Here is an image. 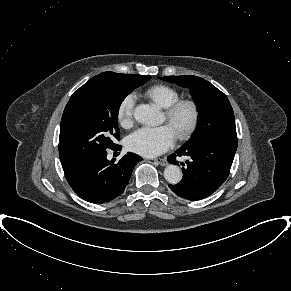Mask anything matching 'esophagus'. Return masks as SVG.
I'll return each instance as SVG.
<instances>
[{
  "mask_svg": "<svg viewBox=\"0 0 291 291\" xmlns=\"http://www.w3.org/2000/svg\"><path fill=\"white\" fill-rule=\"evenodd\" d=\"M154 162L161 165V166H166L168 164V162L165 158H157L154 160Z\"/></svg>",
  "mask_w": 291,
  "mask_h": 291,
  "instance_id": "1",
  "label": "esophagus"
}]
</instances>
